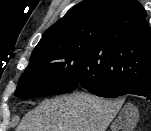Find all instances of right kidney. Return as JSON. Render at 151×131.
Here are the masks:
<instances>
[{
  "mask_svg": "<svg viewBox=\"0 0 151 131\" xmlns=\"http://www.w3.org/2000/svg\"><path fill=\"white\" fill-rule=\"evenodd\" d=\"M130 119H132L133 117L129 116ZM123 128V123L121 118L116 120L113 125H112V131H117L118 129ZM133 125L131 127H127L124 130L125 131H132L133 130Z\"/></svg>",
  "mask_w": 151,
  "mask_h": 131,
  "instance_id": "obj_1",
  "label": "right kidney"
}]
</instances>
